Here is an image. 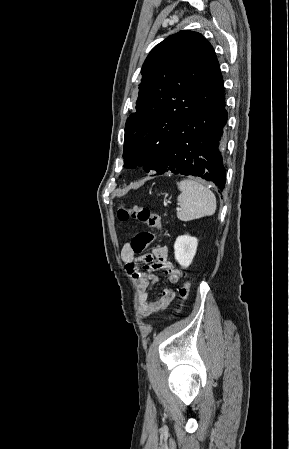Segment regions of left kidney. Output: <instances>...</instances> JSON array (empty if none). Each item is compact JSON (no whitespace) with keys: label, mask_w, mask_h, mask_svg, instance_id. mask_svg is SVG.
Returning <instances> with one entry per match:
<instances>
[{"label":"left kidney","mask_w":289,"mask_h":449,"mask_svg":"<svg viewBox=\"0 0 289 449\" xmlns=\"http://www.w3.org/2000/svg\"><path fill=\"white\" fill-rule=\"evenodd\" d=\"M198 240L189 235L178 236L174 244V253L176 261L187 268L196 254Z\"/></svg>","instance_id":"5707ae66"}]
</instances>
